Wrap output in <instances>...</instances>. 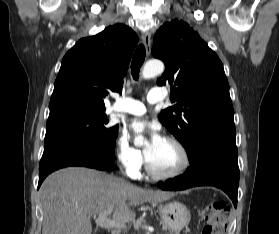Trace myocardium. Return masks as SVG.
Returning a JSON list of instances; mask_svg holds the SVG:
<instances>
[{"label": "myocardium", "instance_id": "obj_1", "mask_svg": "<svg viewBox=\"0 0 279 234\" xmlns=\"http://www.w3.org/2000/svg\"><path fill=\"white\" fill-rule=\"evenodd\" d=\"M163 140L172 143L178 149L181 156L180 165L170 173H159L152 168V166L149 163L147 153L145 152V168L148 175L153 179L160 180V181H168V180L176 179L182 176L186 172V170L190 165V157L184 144L176 137L165 136L163 137Z\"/></svg>", "mask_w": 279, "mask_h": 234}]
</instances>
